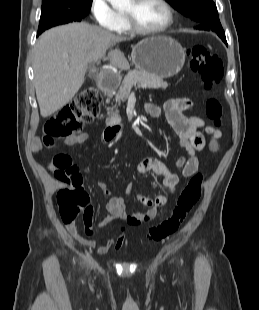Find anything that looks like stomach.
I'll list each match as a JSON object with an SVG mask.
<instances>
[{
  "instance_id": "0dacf381",
  "label": "stomach",
  "mask_w": 259,
  "mask_h": 310,
  "mask_svg": "<svg viewBox=\"0 0 259 310\" xmlns=\"http://www.w3.org/2000/svg\"><path fill=\"white\" fill-rule=\"evenodd\" d=\"M131 58L140 72L160 78H170L181 71L185 62V51L171 37L155 36L135 45Z\"/></svg>"
}]
</instances>
